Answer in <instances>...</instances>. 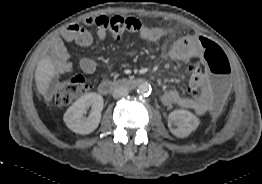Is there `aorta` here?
I'll list each match as a JSON object with an SVG mask.
<instances>
[{"label":"aorta","instance_id":"aorta-1","mask_svg":"<svg viewBox=\"0 0 262 184\" xmlns=\"http://www.w3.org/2000/svg\"><path fill=\"white\" fill-rule=\"evenodd\" d=\"M137 93L140 95H149L151 93V86L148 83H141L137 88Z\"/></svg>","mask_w":262,"mask_h":184}]
</instances>
